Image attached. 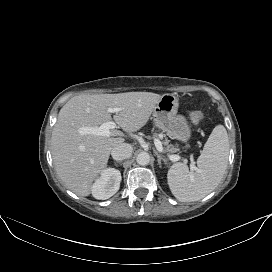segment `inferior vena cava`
<instances>
[{
	"label": "inferior vena cava",
	"mask_w": 272,
	"mask_h": 272,
	"mask_svg": "<svg viewBox=\"0 0 272 272\" xmlns=\"http://www.w3.org/2000/svg\"><path fill=\"white\" fill-rule=\"evenodd\" d=\"M133 148L128 143H122L114 147L111 151L112 158L114 160H124L131 157Z\"/></svg>",
	"instance_id": "1"
}]
</instances>
